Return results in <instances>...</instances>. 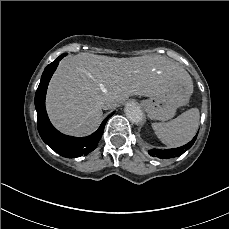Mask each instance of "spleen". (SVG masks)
Instances as JSON below:
<instances>
[{"label": "spleen", "instance_id": "spleen-1", "mask_svg": "<svg viewBox=\"0 0 229 229\" xmlns=\"http://www.w3.org/2000/svg\"><path fill=\"white\" fill-rule=\"evenodd\" d=\"M200 113L192 108L166 123H153L157 137L168 147H179L192 140L199 126Z\"/></svg>", "mask_w": 229, "mask_h": 229}]
</instances>
